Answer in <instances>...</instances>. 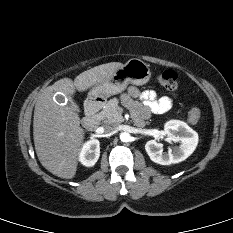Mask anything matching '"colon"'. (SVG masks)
Instances as JSON below:
<instances>
[{
	"mask_svg": "<svg viewBox=\"0 0 233 233\" xmlns=\"http://www.w3.org/2000/svg\"><path fill=\"white\" fill-rule=\"evenodd\" d=\"M158 81L166 90L176 91L178 89V76L173 70H165L158 77ZM201 117V111L198 107H193L188 114V120L191 124H197Z\"/></svg>",
	"mask_w": 233,
	"mask_h": 233,
	"instance_id": "1",
	"label": "colon"
}]
</instances>
